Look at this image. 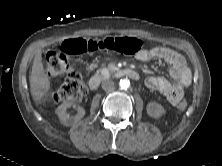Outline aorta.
<instances>
[{"mask_svg": "<svg viewBox=\"0 0 222 166\" xmlns=\"http://www.w3.org/2000/svg\"><path fill=\"white\" fill-rule=\"evenodd\" d=\"M129 86H130V81L127 78L120 80L121 89H127V88H129Z\"/></svg>", "mask_w": 222, "mask_h": 166, "instance_id": "obj_1", "label": "aorta"}]
</instances>
